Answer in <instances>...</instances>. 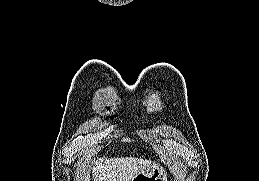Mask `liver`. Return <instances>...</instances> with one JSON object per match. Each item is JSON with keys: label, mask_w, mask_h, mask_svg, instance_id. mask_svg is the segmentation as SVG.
Listing matches in <instances>:
<instances>
[{"label": "liver", "mask_w": 259, "mask_h": 181, "mask_svg": "<svg viewBox=\"0 0 259 181\" xmlns=\"http://www.w3.org/2000/svg\"><path fill=\"white\" fill-rule=\"evenodd\" d=\"M150 164V160L133 157L100 158L94 163L92 173L94 181H131L136 174L143 172ZM82 181H90L88 172L84 174Z\"/></svg>", "instance_id": "obj_1"}]
</instances>
